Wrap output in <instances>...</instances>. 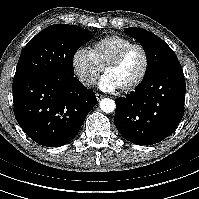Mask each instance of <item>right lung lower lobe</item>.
I'll list each match as a JSON object with an SVG mask.
<instances>
[{
	"instance_id": "right-lung-lower-lobe-1",
	"label": "right lung lower lobe",
	"mask_w": 199,
	"mask_h": 199,
	"mask_svg": "<svg viewBox=\"0 0 199 199\" xmlns=\"http://www.w3.org/2000/svg\"><path fill=\"white\" fill-rule=\"evenodd\" d=\"M15 118L35 142L57 147L70 142L97 104L76 77L35 74L13 80Z\"/></svg>"
}]
</instances>
